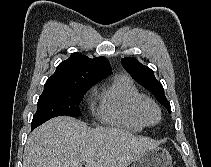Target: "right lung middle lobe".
Listing matches in <instances>:
<instances>
[{
	"mask_svg": "<svg viewBox=\"0 0 211 167\" xmlns=\"http://www.w3.org/2000/svg\"><path fill=\"white\" fill-rule=\"evenodd\" d=\"M98 81L87 80L68 86L44 87L33 116L32 129L53 117L80 116L79 104L83 95Z\"/></svg>",
	"mask_w": 211,
	"mask_h": 167,
	"instance_id": "dd1d6c3e",
	"label": "right lung middle lobe"
}]
</instances>
